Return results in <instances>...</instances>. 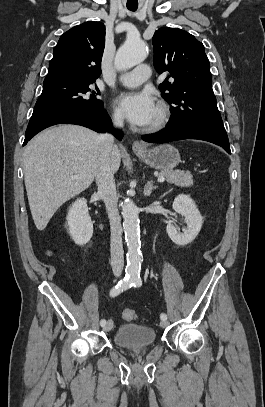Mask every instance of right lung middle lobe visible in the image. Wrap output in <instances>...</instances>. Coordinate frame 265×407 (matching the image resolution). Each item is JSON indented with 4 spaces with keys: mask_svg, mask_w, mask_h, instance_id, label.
<instances>
[{
    "mask_svg": "<svg viewBox=\"0 0 265 407\" xmlns=\"http://www.w3.org/2000/svg\"><path fill=\"white\" fill-rule=\"evenodd\" d=\"M94 83L95 80L46 78L28 126L66 112L103 108V102L97 98L100 91L96 85L93 88Z\"/></svg>",
    "mask_w": 265,
    "mask_h": 407,
    "instance_id": "right-lung-middle-lobe-1",
    "label": "right lung middle lobe"
}]
</instances>
